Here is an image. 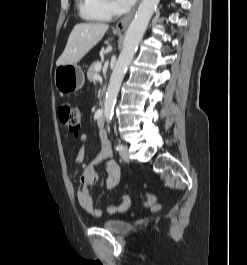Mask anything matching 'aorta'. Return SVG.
Masks as SVG:
<instances>
[{"label": "aorta", "instance_id": "aorta-1", "mask_svg": "<svg viewBox=\"0 0 247 265\" xmlns=\"http://www.w3.org/2000/svg\"><path fill=\"white\" fill-rule=\"evenodd\" d=\"M159 2L160 0H142L134 19L126 31L123 49L112 71L106 93L104 116L107 121L112 119L116 98L125 72L133 60L136 49Z\"/></svg>", "mask_w": 247, "mask_h": 265}]
</instances>
